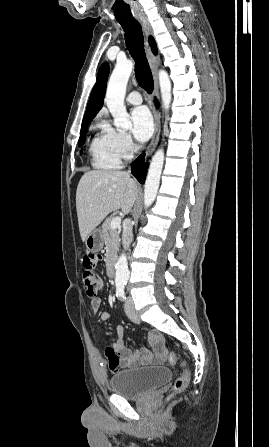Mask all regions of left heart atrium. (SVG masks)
<instances>
[{"label": "left heart atrium", "mask_w": 269, "mask_h": 447, "mask_svg": "<svg viewBox=\"0 0 269 447\" xmlns=\"http://www.w3.org/2000/svg\"><path fill=\"white\" fill-rule=\"evenodd\" d=\"M131 127L132 133L138 141H147L152 136L154 121L147 107L140 106L132 111Z\"/></svg>", "instance_id": "left-heart-atrium-1"}]
</instances>
